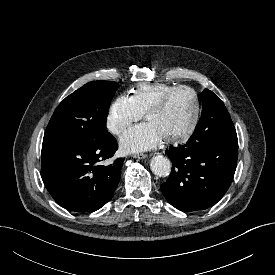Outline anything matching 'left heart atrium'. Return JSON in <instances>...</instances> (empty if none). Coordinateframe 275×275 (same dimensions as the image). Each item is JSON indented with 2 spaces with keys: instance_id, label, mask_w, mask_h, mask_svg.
<instances>
[{
  "instance_id": "obj_1",
  "label": "left heart atrium",
  "mask_w": 275,
  "mask_h": 275,
  "mask_svg": "<svg viewBox=\"0 0 275 275\" xmlns=\"http://www.w3.org/2000/svg\"><path fill=\"white\" fill-rule=\"evenodd\" d=\"M163 137L150 122L138 124L130 128L120 139L124 152H144L157 147Z\"/></svg>"
}]
</instances>
